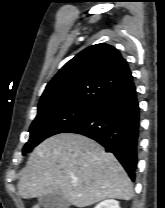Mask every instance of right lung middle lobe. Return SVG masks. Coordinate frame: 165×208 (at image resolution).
I'll return each mask as SVG.
<instances>
[{
  "mask_svg": "<svg viewBox=\"0 0 165 208\" xmlns=\"http://www.w3.org/2000/svg\"><path fill=\"white\" fill-rule=\"evenodd\" d=\"M96 103L63 102L38 108V114L30 126V139L23 148V155L30 152L46 138L63 133L82 121Z\"/></svg>",
  "mask_w": 165,
  "mask_h": 208,
  "instance_id": "obj_1",
  "label": "right lung middle lobe"
}]
</instances>
